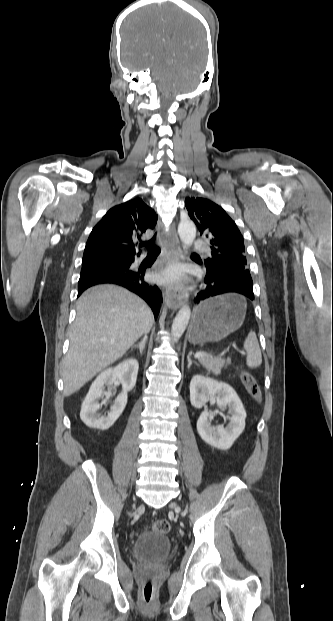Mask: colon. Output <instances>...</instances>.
<instances>
[{"instance_id":"obj_1","label":"colon","mask_w":333,"mask_h":621,"mask_svg":"<svg viewBox=\"0 0 333 621\" xmlns=\"http://www.w3.org/2000/svg\"><path fill=\"white\" fill-rule=\"evenodd\" d=\"M241 380H242V383L246 391L249 393V395L253 397L254 399H259L261 396V391H260L259 384L256 381L255 377L250 372L246 370H242ZM169 529H170V525L164 519L156 520L151 525V531L156 532V533L166 534L169 531ZM153 594H154L153 582L150 578H148L142 588V600L145 603H150L153 600Z\"/></svg>"}]
</instances>
